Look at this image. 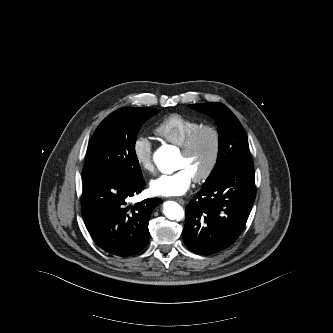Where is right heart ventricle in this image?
<instances>
[{"label": "right heart ventricle", "mask_w": 333, "mask_h": 333, "mask_svg": "<svg viewBox=\"0 0 333 333\" xmlns=\"http://www.w3.org/2000/svg\"><path fill=\"white\" fill-rule=\"evenodd\" d=\"M201 125L202 123L197 120L180 114H171L156 126L154 132L161 139L182 146L186 138Z\"/></svg>", "instance_id": "1"}]
</instances>
